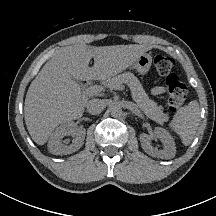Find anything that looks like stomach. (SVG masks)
<instances>
[{
  "label": "stomach",
  "mask_w": 216,
  "mask_h": 216,
  "mask_svg": "<svg viewBox=\"0 0 216 216\" xmlns=\"http://www.w3.org/2000/svg\"><path fill=\"white\" fill-rule=\"evenodd\" d=\"M152 64V56L148 53H143L139 58L133 63V68L136 69L140 74H146Z\"/></svg>",
  "instance_id": "stomach-1"
}]
</instances>
